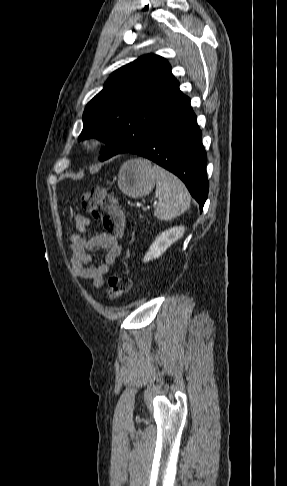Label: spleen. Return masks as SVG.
I'll return each instance as SVG.
<instances>
[{"instance_id":"1","label":"spleen","mask_w":287,"mask_h":486,"mask_svg":"<svg viewBox=\"0 0 287 486\" xmlns=\"http://www.w3.org/2000/svg\"><path fill=\"white\" fill-rule=\"evenodd\" d=\"M157 175L155 197L158 203L154 216L168 221L184 213L190 207V195L184 183L169 171L155 165Z\"/></svg>"}]
</instances>
